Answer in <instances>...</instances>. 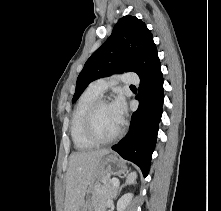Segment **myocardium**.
<instances>
[{
    "label": "myocardium",
    "instance_id": "f54148a6",
    "mask_svg": "<svg viewBox=\"0 0 221 211\" xmlns=\"http://www.w3.org/2000/svg\"><path fill=\"white\" fill-rule=\"evenodd\" d=\"M106 103H109L108 99L106 97L100 96L90 105L84 117V124H83L84 134L86 138L90 140L91 142H93L94 144L111 143L117 140L122 135L123 130H124L123 125L121 124L119 130L111 137L102 138L98 136L94 127V119H95V115H96L98 108L101 105L106 104Z\"/></svg>",
    "mask_w": 221,
    "mask_h": 211
}]
</instances>
